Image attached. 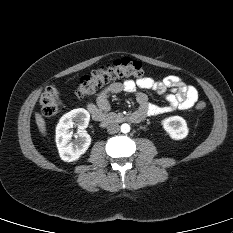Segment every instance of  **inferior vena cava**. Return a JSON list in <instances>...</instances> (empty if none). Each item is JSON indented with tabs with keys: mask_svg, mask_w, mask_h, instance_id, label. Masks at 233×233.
<instances>
[{
	"mask_svg": "<svg viewBox=\"0 0 233 233\" xmlns=\"http://www.w3.org/2000/svg\"><path fill=\"white\" fill-rule=\"evenodd\" d=\"M120 130V126L117 123H111L107 127V131L109 134H115Z\"/></svg>",
	"mask_w": 233,
	"mask_h": 233,
	"instance_id": "1",
	"label": "inferior vena cava"
}]
</instances>
